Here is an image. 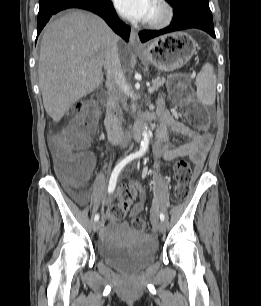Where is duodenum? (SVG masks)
I'll return each instance as SVG.
<instances>
[{
  "label": "duodenum",
  "mask_w": 261,
  "mask_h": 306,
  "mask_svg": "<svg viewBox=\"0 0 261 306\" xmlns=\"http://www.w3.org/2000/svg\"><path fill=\"white\" fill-rule=\"evenodd\" d=\"M146 120H151V115H146ZM105 128L112 141H121L123 139L122 127L117 119L114 110V98L109 96L106 103V117H105Z\"/></svg>",
  "instance_id": "1"
}]
</instances>
